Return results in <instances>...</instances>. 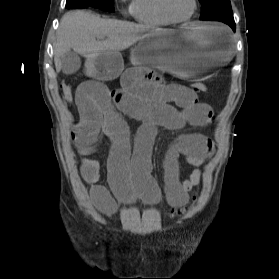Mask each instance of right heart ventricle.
Masks as SVG:
<instances>
[{"instance_id":"right-heart-ventricle-1","label":"right heart ventricle","mask_w":279,"mask_h":279,"mask_svg":"<svg viewBox=\"0 0 279 279\" xmlns=\"http://www.w3.org/2000/svg\"><path fill=\"white\" fill-rule=\"evenodd\" d=\"M131 13L138 22L149 26H168L172 24L163 15L159 0H132Z\"/></svg>"}]
</instances>
